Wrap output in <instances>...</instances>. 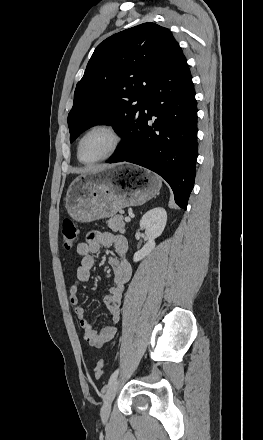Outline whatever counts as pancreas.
<instances>
[{"label": "pancreas", "mask_w": 263, "mask_h": 440, "mask_svg": "<svg viewBox=\"0 0 263 440\" xmlns=\"http://www.w3.org/2000/svg\"><path fill=\"white\" fill-rule=\"evenodd\" d=\"M122 215H115L108 220V227L114 232H124L125 223Z\"/></svg>", "instance_id": "obj_1"}]
</instances>
